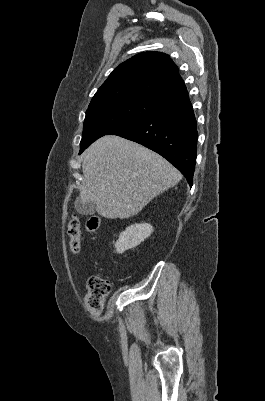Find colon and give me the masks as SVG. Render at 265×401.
Segmentation results:
<instances>
[{"instance_id":"1","label":"colon","mask_w":265,"mask_h":401,"mask_svg":"<svg viewBox=\"0 0 265 401\" xmlns=\"http://www.w3.org/2000/svg\"><path fill=\"white\" fill-rule=\"evenodd\" d=\"M100 226V218L97 215L90 216L86 221V229L88 231H96ZM67 233L69 236V246L73 254L80 252L81 243V227L80 220L77 216H72L67 224ZM111 291V283L109 280L100 276H92L87 282V293L85 296V304L94 317L100 315L104 301Z\"/></svg>"}]
</instances>
